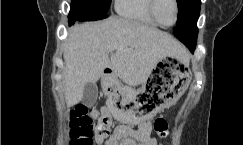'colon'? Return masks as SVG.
I'll return each instance as SVG.
<instances>
[{
	"label": "colon",
	"mask_w": 243,
	"mask_h": 145,
	"mask_svg": "<svg viewBox=\"0 0 243 145\" xmlns=\"http://www.w3.org/2000/svg\"><path fill=\"white\" fill-rule=\"evenodd\" d=\"M71 145H93V138L109 136L111 132V120L104 116L94 125V115L90 109L83 105H76L70 113ZM168 127L166 120L158 118L154 122V129L159 134H165Z\"/></svg>",
	"instance_id": "obj_1"
}]
</instances>
